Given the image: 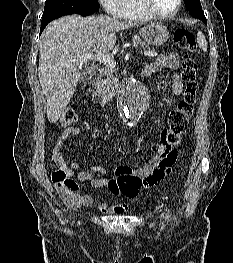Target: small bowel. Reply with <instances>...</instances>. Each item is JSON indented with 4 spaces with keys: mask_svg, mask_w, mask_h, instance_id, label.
Here are the masks:
<instances>
[{
    "mask_svg": "<svg viewBox=\"0 0 233 263\" xmlns=\"http://www.w3.org/2000/svg\"><path fill=\"white\" fill-rule=\"evenodd\" d=\"M179 62V55L176 53L161 55L155 60V62L146 66L144 72L146 75H149L164 68L177 70ZM183 86L184 84L179 74H174L172 81L173 92L176 95H180L183 91ZM80 132V127L67 128L61 133L52 150V158L54 162L66 173L68 178L71 179L76 174L77 179L82 184L102 191H109L111 194L123 199H134L138 196L142 188L154 185L147 184L144 179L146 175L150 174L156 167H158L162 161V156L160 155L152 157L142 168L121 165L115 167L111 172L102 166H91L88 170L78 171L79 165L77 163H66L62 154L64 144L70 135H77ZM124 170H130V172H124ZM96 173L101 174V177H95ZM55 187L65 200L77 206L88 207L93 204V197L89 194H78L76 192L77 187L75 189H67L63 183H55ZM98 208L101 212L106 214H120L126 210L125 204L110 205L106 202L99 204Z\"/></svg>",
    "mask_w": 233,
    "mask_h": 263,
    "instance_id": "obj_1",
    "label": "small bowel"
}]
</instances>
